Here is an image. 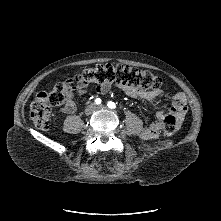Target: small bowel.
<instances>
[{"instance_id":"c3829d8e","label":"small bowel","mask_w":221,"mask_h":221,"mask_svg":"<svg viewBox=\"0 0 221 221\" xmlns=\"http://www.w3.org/2000/svg\"><path fill=\"white\" fill-rule=\"evenodd\" d=\"M112 87H116L123 91L131 98L143 99L147 103L152 104L158 97L163 96L162 90H150L145 91L135 87L122 85L120 83L103 84L95 87V92L98 94H105L111 90ZM86 87H74L70 86V90L67 95V101L65 106L61 109L63 113H74L77 110L75 102V95L82 96L86 94ZM187 110L186 98L182 93H176L173 96L172 104L169 108L163 109L156 113L155 120L152 121L141 132V137L145 140H151L158 137L160 131L164 127V120L168 116H173L176 119L177 126H179L185 118Z\"/></svg>"}]
</instances>
